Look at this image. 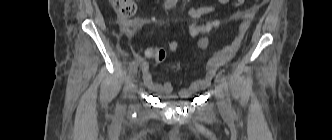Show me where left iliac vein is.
<instances>
[{
	"mask_svg": "<svg viewBox=\"0 0 332 140\" xmlns=\"http://www.w3.org/2000/svg\"><path fill=\"white\" fill-rule=\"evenodd\" d=\"M216 90H215V95L218 100V107L221 112H226L227 111V105L226 101L224 98V91H223V84L221 81V78L218 76L216 78Z\"/></svg>",
	"mask_w": 332,
	"mask_h": 140,
	"instance_id": "4c4485c4",
	"label": "left iliac vein"
}]
</instances>
